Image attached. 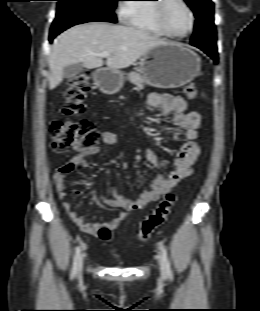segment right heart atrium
<instances>
[{
    "instance_id": "obj_1",
    "label": "right heart atrium",
    "mask_w": 260,
    "mask_h": 311,
    "mask_svg": "<svg viewBox=\"0 0 260 311\" xmlns=\"http://www.w3.org/2000/svg\"><path fill=\"white\" fill-rule=\"evenodd\" d=\"M124 9H125V8H123V7L120 9V15H121V16H123V11H124Z\"/></svg>"
}]
</instances>
